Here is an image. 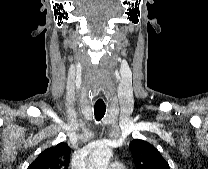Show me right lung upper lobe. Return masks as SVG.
<instances>
[{"mask_svg":"<svg viewBox=\"0 0 208 169\" xmlns=\"http://www.w3.org/2000/svg\"><path fill=\"white\" fill-rule=\"evenodd\" d=\"M71 149L65 143H59L54 147L41 152L28 169H68Z\"/></svg>","mask_w":208,"mask_h":169,"instance_id":"1","label":"right lung upper lobe"}]
</instances>
